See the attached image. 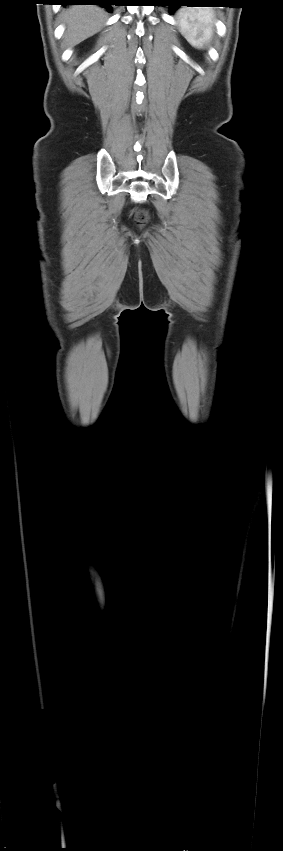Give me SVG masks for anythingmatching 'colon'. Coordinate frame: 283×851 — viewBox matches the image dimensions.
<instances>
[{
    "label": "colon",
    "mask_w": 283,
    "mask_h": 851,
    "mask_svg": "<svg viewBox=\"0 0 283 851\" xmlns=\"http://www.w3.org/2000/svg\"><path fill=\"white\" fill-rule=\"evenodd\" d=\"M135 219L139 224H143L147 221L148 215L145 211H137L135 214Z\"/></svg>",
    "instance_id": "obj_1"
}]
</instances>
